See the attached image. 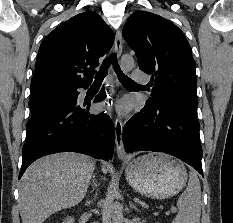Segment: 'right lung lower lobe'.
Wrapping results in <instances>:
<instances>
[{"instance_id": "98d812e1", "label": "right lung lower lobe", "mask_w": 233, "mask_h": 223, "mask_svg": "<svg viewBox=\"0 0 233 223\" xmlns=\"http://www.w3.org/2000/svg\"><path fill=\"white\" fill-rule=\"evenodd\" d=\"M52 89L45 96L57 106L33 114L26 125L27 138L23 146L19 179L36 159L58 152H79L94 158H112L115 133L110 117L104 113H89L90 102H78V88ZM105 98L104 89L94 102Z\"/></svg>"}]
</instances>
